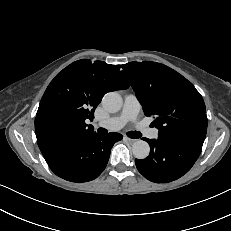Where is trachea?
<instances>
[{"mask_svg": "<svg viewBox=\"0 0 231 231\" xmlns=\"http://www.w3.org/2000/svg\"><path fill=\"white\" fill-rule=\"evenodd\" d=\"M98 133L100 134H107V130L104 129V128H98ZM127 136L129 138H133V139H136V138H140L141 137V133L140 132H137V131H130V132H127Z\"/></svg>", "mask_w": 231, "mask_h": 231, "instance_id": "3493384b", "label": "trachea"}]
</instances>
